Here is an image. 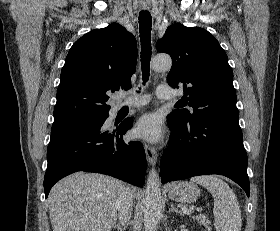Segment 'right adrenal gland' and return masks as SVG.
I'll return each instance as SVG.
<instances>
[{
  "label": "right adrenal gland",
  "mask_w": 280,
  "mask_h": 231,
  "mask_svg": "<svg viewBox=\"0 0 280 231\" xmlns=\"http://www.w3.org/2000/svg\"><path fill=\"white\" fill-rule=\"evenodd\" d=\"M113 227H115V229H117V231H123V229H125V227H122V225H120V223H117V225H113Z\"/></svg>",
  "instance_id": "2a0ac1e0"
}]
</instances>
